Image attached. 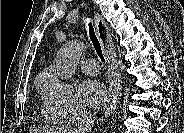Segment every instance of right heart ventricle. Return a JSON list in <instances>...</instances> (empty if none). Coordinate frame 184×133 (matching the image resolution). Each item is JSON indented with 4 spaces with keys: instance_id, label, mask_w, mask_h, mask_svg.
Segmentation results:
<instances>
[{
    "instance_id": "obj_1",
    "label": "right heart ventricle",
    "mask_w": 184,
    "mask_h": 133,
    "mask_svg": "<svg viewBox=\"0 0 184 133\" xmlns=\"http://www.w3.org/2000/svg\"><path fill=\"white\" fill-rule=\"evenodd\" d=\"M46 74H48V73H45V74H43V75L41 76V78H40V83H41L42 79L44 78V76H45Z\"/></svg>"
}]
</instances>
